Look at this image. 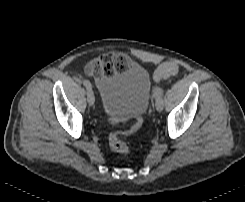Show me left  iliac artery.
<instances>
[{
	"instance_id": "obj_1",
	"label": "left iliac artery",
	"mask_w": 245,
	"mask_h": 202,
	"mask_svg": "<svg viewBox=\"0 0 245 202\" xmlns=\"http://www.w3.org/2000/svg\"><path fill=\"white\" fill-rule=\"evenodd\" d=\"M162 89L157 88L153 94L154 99L157 101L158 99H162Z\"/></svg>"
}]
</instances>
